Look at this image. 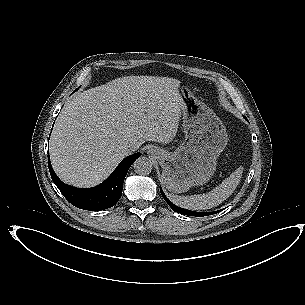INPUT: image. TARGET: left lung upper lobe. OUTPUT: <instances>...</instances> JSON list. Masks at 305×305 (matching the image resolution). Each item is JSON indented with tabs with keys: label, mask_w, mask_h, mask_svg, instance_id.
Here are the masks:
<instances>
[{
	"label": "left lung upper lobe",
	"mask_w": 305,
	"mask_h": 305,
	"mask_svg": "<svg viewBox=\"0 0 305 305\" xmlns=\"http://www.w3.org/2000/svg\"><path fill=\"white\" fill-rule=\"evenodd\" d=\"M175 212H178V213L184 214V215H189V216H197V217L201 215L200 212L189 211V210H186V209H183L180 207H177Z\"/></svg>",
	"instance_id": "5c2ea615"
}]
</instances>
